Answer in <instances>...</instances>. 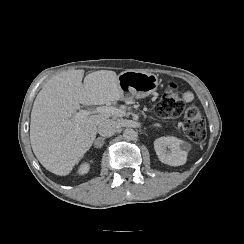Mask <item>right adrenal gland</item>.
I'll return each mask as SVG.
<instances>
[{
    "label": "right adrenal gland",
    "mask_w": 244,
    "mask_h": 244,
    "mask_svg": "<svg viewBox=\"0 0 244 244\" xmlns=\"http://www.w3.org/2000/svg\"><path fill=\"white\" fill-rule=\"evenodd\" d=\"M98 139L104 141L106 138H105V137H98L97 140H98Z\"/></svg>",
    "instance_id": "1"
}]
</instances>
